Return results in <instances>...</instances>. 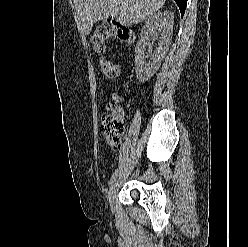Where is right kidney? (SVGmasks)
Here are the masks:
<instances>
[{
	"label": "right kidney",
	"instance_id": "right-kidney-1",
	"mask_svg": "<svg viewBox=\"0 0 248 247\" xmlns=\"http://www.w3.org/2000/svg\"><path fill=\"white\" fill-rule=\"evenodd\" d=\"M173 23L174 13L166 10L152 15L143 26L140 33L141 39L135 51L136 74L141 83L154 75L165 58L171 44ZM152 36L158 39V47L152 55L151 62L147 63L145 59L148 56L145 51Z\"/></svg>",
	"mask_w": 248,
	"mask_h": 247
}]
</instances>
